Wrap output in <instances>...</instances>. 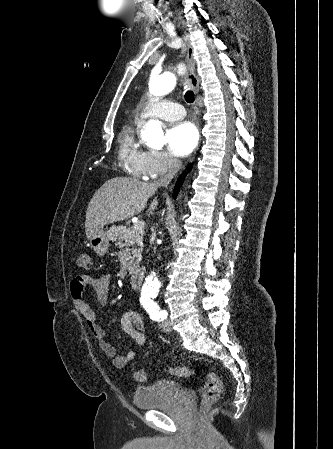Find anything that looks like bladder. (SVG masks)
I'll list each match as a JSON object with an SVG mask.
<instances>
[{"instance_id": "1", "label": "bladder", "mask_w": 333, "mask_h": 449, "mask_svg": "<svg viewBox=\"0 0 333 449\" xmlns=\"http://www.w3.org/2000/svg\"><path fill=\"white\" fill-rule=\"evenodd\" d=\"M182 392V386L174 380H160L148 386L137 387L133 403L138 409L154 410L171 406Z\"/></svg>"}]
</instances>
